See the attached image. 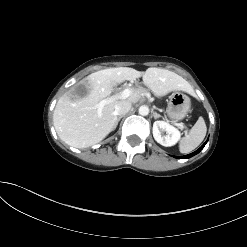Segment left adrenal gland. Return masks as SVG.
<instances>
[{
  "instance_id": "obj_1",
  "label": "left adrenal gland",
  "mask_w": 247,
  "mask_h": 247,
  "mask_svg": "<svg viewBox=\"0 0 247 247\" xmlns=\"http://www.w3.org/2000/svg\"><path fill=\"white\" fill-rule=\"evenodd\" d=\"M152 112H153V117H154V119H157V118H160V117H161L160 114H158V113H156V112H154V111H152Z\"/></svg>"
}]
</instances>
